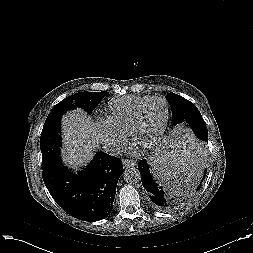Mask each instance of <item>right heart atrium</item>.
Returning a JSON list of instances; mask_svg holds the SVG:
<instances>
[{
	"mask_svg": "<svg viewBox=\"0 0 253 253\" xmlns=\"http://www.w3.org/2000/svg\"><path fill=\"white\" fill-rule=\"evenodd\" d=\"M97 127L106 149L118 151L126 142V136L115 131L106 119L98 120Z\"/></svg>",
	"mask_w": 253,
	"mask_h": 253,
	"instance_id": "obj_1",
	"label": "right heart atrium"
}]
</instances>
